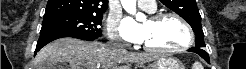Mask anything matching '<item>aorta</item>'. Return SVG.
Returning a JSON list of instances; mask_svg holds the SVG:
<instances>
[{"label":"aorta","mask_w":246,"mask_h":69,"mask_svg":"<svg viewBox=\"0 0 246 69\" xmlns=\"http://www.w3.org/2000/svg\"><path fill=\"white\" fill-rule=\"evenodd\" d=\"M123 8L130 14H135L136 19L140 20L144 18V15L141 13L136 14V0H121Z\"/></svg>","instance_id":"obj_1"}]
</instances>
